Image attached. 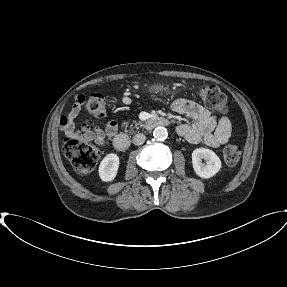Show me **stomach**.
Returning a JSON list of instances; mask_svg holds the SVG:
<instances>
[{
	"label": "stomach",
	"mask_w": 287,
	"mask_h": 287,
	"mask_svg": "<svg viewBox=\"0 0 287 287\" xmlns=\"http://www.w3.org/2000/svg\"><path fill=\"white\" fill-rule=\"evenodd\" d=\"M149 92L158 93V92H169V87L161 84H154L148 87Z\"/></svg>",
	"instance_id": "1"
}]
</instances>
